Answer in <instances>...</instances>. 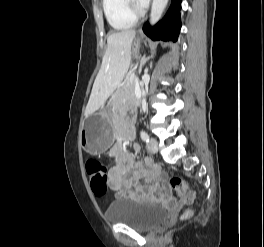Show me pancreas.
Instances as JSON below:
<instances>
[{"label":"pancreas","instance_id":"cf45deb5","mask_svg":"<svg viewBox=\"0 0 264 247\" xmlns=\"http://www.w3.org/2000/svg\"><path fill=\"white\" fill-rule=\"evenodd\" d=\"M135 81H136V76L133 74L126 79V81L124 82L121 88L120 99H127L130 102L136 101L135 92H134Z\"/></svg>","mask_w":264,"mask_h":247}]
</instances>
